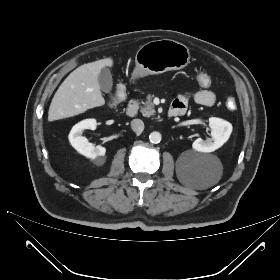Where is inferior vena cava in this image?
Here are the masks:
<instances>
[{
	"mask_svg": "<svg viewBox=\"0 0 280 280\" xmlns=\"http://www.w3.org/2000/svg\"><path fill=\"white\" fill-rule=\"evenodd\" d=\"M131 128L135 133L140 134L144 130V123L141 119H133L131 121Z\"/></svg>",
	"mask_w": 280,
	"mask_h": 280,
	"instance_id": "602c4592",
	"label": "inferior vena cava"
}]
</instances>
